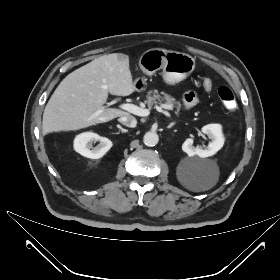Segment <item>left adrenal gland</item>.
<instances>
[{"label":"left adrenal gland","mask_w":280,"mask_h":280,"mask_svg":"<svg viewBox=\"0 0 280 280\" xmlns=\"http://www.w3.org/2000/svg\"><path fill=\"white\" fill-rule=\"evenodd\" d=\"M176 124V122H172L170 125H168V129H170L171 127H173Z\"/></svg>","instance_id":"left-adrenal-gland-1"}]
</instances>
